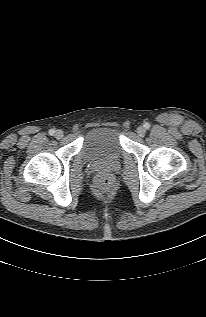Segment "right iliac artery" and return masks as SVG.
<instances>
[{
	"label": "right iliac artery",
	"mask_w": 206,
	"mask_h": 317,
	"mask_svg": "<svg viewBox=\"0 0 206 317\" xmlns=\"http://www.w3.org/2000/svg\"><path fill=\"white\" fill-rule=\"evenodd\" d=\"M55 134V131L53 129L49 130V135L53 136Z\"/></svg>",
	"instance_id": "82829eb1"
}]
</instances>
